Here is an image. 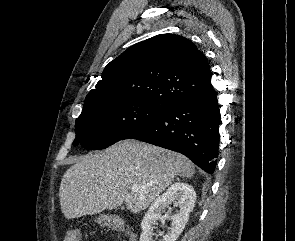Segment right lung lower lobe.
<instances>
[{"mask_svg": "<svg viewBox=\"0 0 295 241\" xmlns=\"http://www.w3.org/2000/svg\"><path fill=\"white\" fill-rule=\"evenodd\" d=\"M221 115L215 90L185 96L123 139H138L184 154L208 173H213L219 149Z\"/></svg>", "mask_w": 295, "mask_h": 241, "instance_id": "98d812e1", "label": "right lung lower lobe"}]
</instances>
